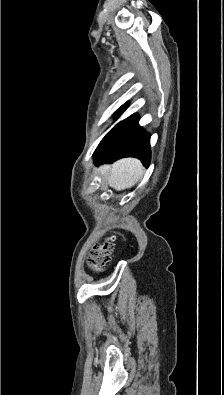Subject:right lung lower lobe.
Returning <instances> with one entry per match:
<instances>
[{"label": "right lung lower lobe", "mask_w": 224, "mask_h": 395, "mask_svg": "<svg viewBox=\"0 0 224 395\" xmlns=\"http://www.w3.org/2000/svg\"><path fill=\"white\" fill-rule=\"evenodd\" d=\"M126 107L117 111L118 118ZM124 157H135L144 166L150 163V135L138 125L136 114L116 125L100 142L94 152L95 164L113 163Z\"/></svg>", "instance_id": "98d812e1"}]
</instances>
